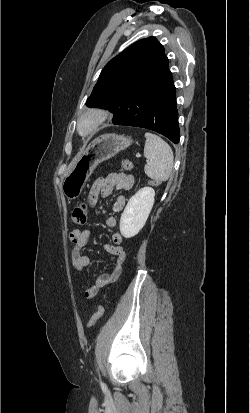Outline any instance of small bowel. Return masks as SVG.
Returning a JSON list of instances; mask_svg holds the SVG:
<instances>
[{
    "mask_svg": "<svg viewBox=\"0 0 250 413\" xmlns=\"http://www.w3.org/2000/svg\"><path fill=\"white\" fill-rule=\"evenodd\" d=\"M134 185V177L124 173H112L106 177L98 178L92 185L90 193L86 195V203L91 205L96 197H108L114 190L128 191ZM125 205L124 196H119L113 202L112 208L119 212ZM98 213V212H97ZM117 225L115 217L106 219V226L114 228ZM91 231L88 228L75 229L70 233V240L74 247L71 253L72 264L75 270L81 272L91 263L90 257L82 254L87 246ZM112 244L106 245L108 253L115 256L113 266L108 272H104L96 279L95 283L85 290L86 299L95 298L107 285L115 282L122 272V266L126 258V250L122 245L123 236L120 232H114L111 237Z\"/></svg>",
    "mask_w": 250,
    "mask_h": 413,
    "instance_id": "1",
    "label": "small bowel"
}]
</instances>
